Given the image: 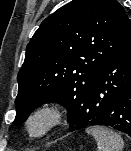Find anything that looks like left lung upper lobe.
Wrapping results in <instances>:
<instances>
[{"instance_id":"1","label":"left lung upper lobe","mask_w":131,"mask_h":151,"mask_svg":"<svg viewBox=\"0 0 131 151\" xmlns=\"http://www.w3.org/2000/svg\"><path fill=\"white\" fill-rule=\"evenodd\" d=\"M131 47V21L117 0H73L47 17L17 76L13 125L43 103L68 110L70 128L103 68Z\"/></svg>"}]
</instances>
